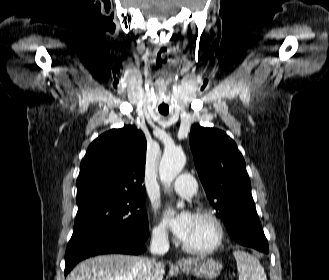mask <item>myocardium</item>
<instances>
[{"instance_id":"obj_1","label":"myocardium","mask_w":329,"mask_h":280,"mask_svg":"<svg viewBox=\"0 0 329 280\" xmlns=\"http://www.w3.org/2000/svg\"><path fill=\"white\" fill-rule=\"evenodd\" d=\"M196 215L204 218L212 225L215 232L214 240L210 245L205 247H192L185 242H182V247L185 251L193 255H208L214 253L223 244L225 236L224 226L218 216L208 209L198 208L196 210Z\"/></svg>"}]
</instances>
